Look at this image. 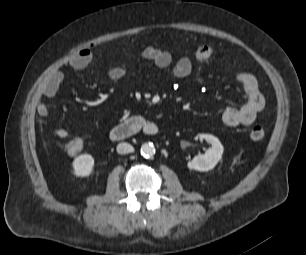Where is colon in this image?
<instances>
[{
    "mask_svg": "<svg viewBox=\"0 0 306 255\" xmlns=\"http://www.w3.org/2000/svg\"><path fill=\"white\" fill-rule=\"evenodd\" d=\"M264 136H265V130L262 126L256 125L251 128L250 130L251 139L258 141L263 139ZM83 145L84 143L81 138H74L73 140L69 141L66 144L65 149L69 155L75 156L82 150Z\"/></svg>",
    "mask_w": 306,
    "mask_h": 255,
    "instance_id": "colon-1",
    "label": "colon"
}]
</instances>
